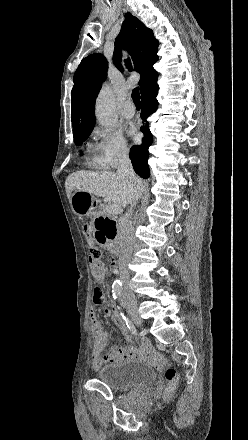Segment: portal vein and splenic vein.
Instances as JSON below:
<instances>
[{"label":"portal vein and splenic vein","instance_id":"1","mask_svg":"<svg viewBox=\"0 0 248 440\" xmlns=\"http://www.w3.org/2000/svg\"><path fill=\"white\" fill-rule=\"evenodd\" d=\"M106 211L111 215H117L122 212V207L117 204H109L106 206Z\"/></svg>","mask_w":248,"mask_h":440}]
</instances>
